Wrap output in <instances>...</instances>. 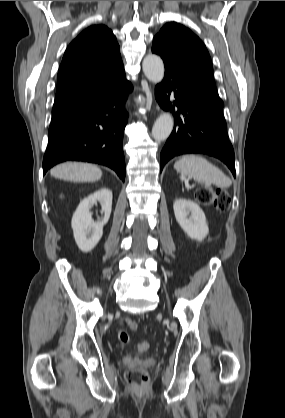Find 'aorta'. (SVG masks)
Segmentation results:
<instances>
[{"label":"aorta","mask_w":285,"mask_h":418,"mask_svg":"<svg viewBox=\"0 0 285 418\" xmlns=\"http://www.w3.org/2000/svg\"><path fill=\"white\" fill-rule=\"evenodd\" d=\"M143 72L146 78L157 84L163 80L164 64L162 59L154 54L147 55L142 63ZM173 129V117L169 112L162 113L155 121L152 128V137L155 141H164L171 134Z\"/></svg>","instance_id":"aorta-1"}]
</instances>
